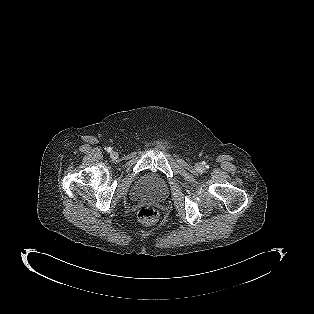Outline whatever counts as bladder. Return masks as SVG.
I'll return each instance as SVG.
<instances>
[{"mask_svg":"<svg viewBox=\"0 0 314 314\" xmlns=\"http://www.w3.org/2000/svg\"><path fill=\"white\" fill-rule=\"evenodd\" d=\"M168 194L166 181L157 174L145 175L133 189V195L137 198H148L154 201H162Z\"/></svg>","mask_w":314,"mask_h":314,"instance_id":"bladder-1","label":"bladder"}]
</instances>
